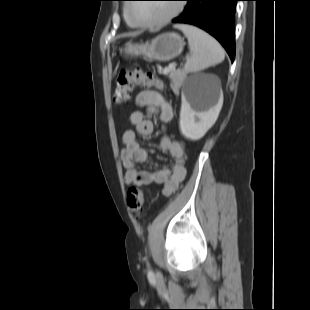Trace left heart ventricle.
<instances>
[{
    "label": "left heart ventricle",
    "mask_w": 310,
    "mask_h": 310,
    "mask_svg": "<svg viewBox=\"0 0 310 310\" xmlns=\"http://www.w3.org/2000/svg\"><path fill=\"white\" fill-rule=\"evenodd\" d=\"M174 5L169 3H138L130 7V15L140 22H156L169 15Z\"/></svg>",
    "instance_id": "left-heart-ventricle-1"
}]
</instances>
